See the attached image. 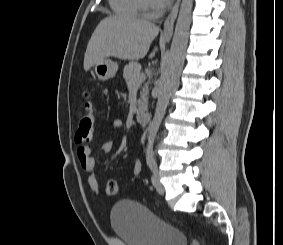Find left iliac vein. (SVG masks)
<instances>
[{
    "mask_svg": "<svg viewBox=\"0 0 283 245\" xmlns=\"http://www.w3.org/2000/svg\"><path fill=\"white\" fill-rule=\"evenodd\" d=\"M152 184L155 187L156 191L160 194V195H164L165 194V189L163 184L160 182V177H159V173L158 170L155 169L153 170V174H152Z\"/></svg>",
    "mask_w": 283,
    "mask_h": 245,
    "instance_id": "left-iliac-vein-1",
    "label": "left iliac vein"
}]
</instances>
